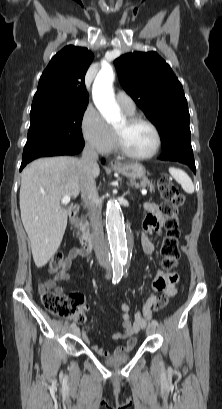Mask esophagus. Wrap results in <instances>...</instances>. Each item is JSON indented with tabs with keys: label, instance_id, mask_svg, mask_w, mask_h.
<instances>
[{
	"label": "esophagus",
	"instance_id": "34e87169",
	"mask_svg": "<svg viewBox=\"0 0 222 409\" xmlns=\"http://www.w3.org/2000/svg\"><path fill=\"white\" fill-rule=\"evenodd\" d=\"M110 165H111L112 167H120V166H121V162H120L118 159H112V160L110 161Z\"/></svg>",
	"mask_w": 222,
	"mask_h": 409
}]
</instances>
